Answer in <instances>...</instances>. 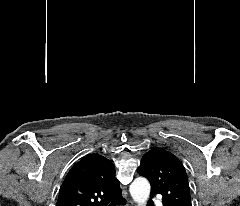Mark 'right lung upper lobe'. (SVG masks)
I'll use <instances>...</instances> for the list:
<instances>
[{"label": "right lung upper lobe", "instance_id": "1", "mask_svg": "<svg viewBox=\"0 0 240 206\" xmlns=\"http://www.w3.org/2000/svg\"><path fill=\"white\" fill-rule=\"evenodd\" d=\"M120 193L113 163L102 155L90 154L67 174L56 206H102Z\"/></svg>", "mask_w": 240, "mask_h": 206}]
</instances>
